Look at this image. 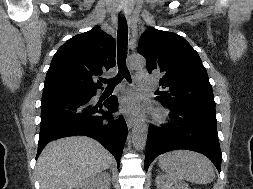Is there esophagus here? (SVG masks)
<instances>
[{
    "label": "esophagus",
    "instance_id": "1",
    "mask_svg": "<svg viewBox=\"0 0 253 189\" xmlns=\"http://www.w3.org/2000/svg\"><path fill=\"white\" fill-rule=\"evenodd\" d=\"M135 125V120L132 118L127 119V126L128 128H132Z\"/></svg>",
    "mask_w": 253,
    "mask_h": 189
}]
</instances>
